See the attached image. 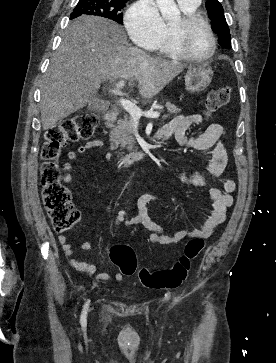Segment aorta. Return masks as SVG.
I'll list each match as a JSON object with an SVG mask.
<instances>
[{
  "label": "aorta",
  "instance_id": "1",
  "mask_svg": "<svg viewBox=\"0 0 276 363\" xmlns=\"http://www.w3.org/2000/svg\"><path fill=\"white\" fill-rule=\"evenodd\" d=\"M157 7L165 21H178L180 19V11L174 0H156Z\"/></svg>",
  "mask_w": 276,
  "mask_h": 363
}]
</instances>
